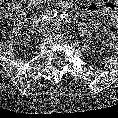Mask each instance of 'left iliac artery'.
<instances>
[{"mask_svg": "<svg viewBox=\"0 0 118 118\" xmlns=\"http://www.w3.org/2000/svg\"><path fill=\"white\" fill-rule=\"evenodd\" d=\"M60 18H61L62 21L66 22V23H71L72 22L71 17L65 12L60 15Z\"/></svg>", "mask_w": 118, "mask_h": 118, "instance_id": "44dca946", "label": "left iliac artery"}]
</instances>
